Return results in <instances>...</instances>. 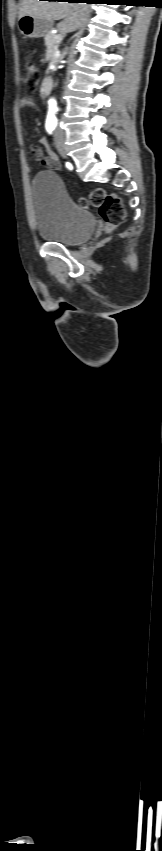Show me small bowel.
Here are the masks:
<instances>
[{
  "label": "small bowel",
  "instance_id": "obj_1",
  "mask_svg": "<svg viewBox=\"0 0 162 851\" xmlns=\"http://www.w3.org/2000/svg\"><path fill=\"white\" fill-rule=\"evenodd\" d=\"M20 106L22 108L31 109V108H36V103L31 98H23L20 101ZM39 143H40V145H42L44 147L47 146V141H46L45 138H40ZM31 153L38 162H40L42 165L46 166L47 168H49V169H58L59 168V160H58L57 156L52 152H50L46 156L41 146L32 145L31 146Z\"/></svg>",
  "mask_w": 162,
  "mask_h": 851
}]
</instances>
